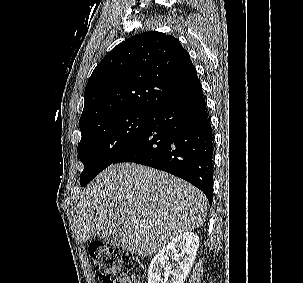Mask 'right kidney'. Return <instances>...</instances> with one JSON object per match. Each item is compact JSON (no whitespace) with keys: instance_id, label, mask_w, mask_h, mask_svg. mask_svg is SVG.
I'll return each mask as SVG.
<instances>
[{"instance_id":"right-kidney-1","label":"right kidney","mask_w":303,"mask_h":283,"mask_svg":"<svg viewBox=\"0 0 303 283\" xmlns=\"http://www.w3.org/2000/svg\"><path fill=\"white\" fill-rule=\"evenodd\" d=\"M198 246L199 238L194 232L175 236L153 257L148 269V283H184L196 258ZM172 256L177 261L175 270H171L169 262ZM163 271L165 279L161 278Z\"/></svg>"}]
</instances>
